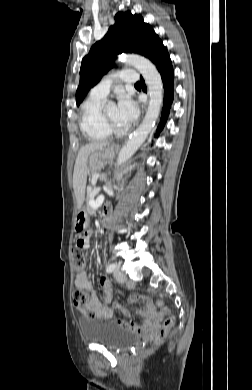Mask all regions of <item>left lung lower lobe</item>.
Instances as JSON below:
<instances>
[{
	"mask_svg": "<svg viewBox=\"0 0 252 390\" xmlns=\"http://www.w3.org/2000/svg\"><path fill=\"white\" fill-rule=\"evenodd\" d=\"M148 59L156 65L161 75L164 88L162 115L155 135V137H158L159 132L166 123L174 99V70L168 51L162 41H159L153 47ZM143 90L146 91L144 83Z\"/></svg>",
	"mask_w": 252,
	"mask_h": 390,
	"instance_id": "1",
	"label": "left lung lower lobe"
}]
</instances>
